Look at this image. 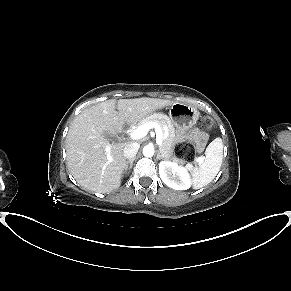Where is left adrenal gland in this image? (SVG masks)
Returning <instances> with one entry per match:
<instances>
[{"instance_id":"obj_1","label":"left adrenal gland","mask_w":291,"mask_h":291,"mask_svg":"<svg viewBox=\"0 0 291 291\" xmlns=\"http://www.w3.org/2000/svg\"><path fill=\"white\" fill-rule=\"evenodd\" d=\"M157 158L158 159H164V156L161 154V151H158Z\"/></svg>"}]
</instances>
